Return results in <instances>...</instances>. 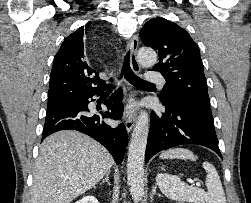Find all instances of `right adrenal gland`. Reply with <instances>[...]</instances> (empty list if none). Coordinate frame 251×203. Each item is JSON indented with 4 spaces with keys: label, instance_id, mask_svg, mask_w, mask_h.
Segmentation results:
<instances>
[{
    "label": "right adrenal gland",
    "instance_id": "2a0ac1e0",
    "mask_svg": "<svg viewBox=\"0 0 251 203\" xmlns=\"http://www.w3.org/2000/svg\"><path fill=\"white\" fill-rule=\"evenodd\" d=\"M105 182H107L109 185H111V183H110V181H109V173L106 174L105 179H103L102 182H101L100 184L105 183Z\"/></svg>",
    "mask_w": 251,
    "mask_h": 203
}]
</instances>
